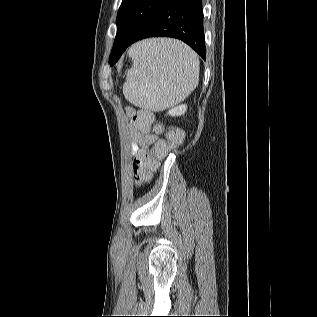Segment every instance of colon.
<instances>
[{"instance_id": "obj_1", "label": "colon", "mask_w": 317, "mask_h": 317, "mask_svg": "<svg viewBox=\"0 0 317 317\" xmlns=\"http://www.w3.org/2000/svg\"><path fill=\"white\" fill-rule=\"evenodd\" d=\"M155 121L154 114L149 110H138L132 116V123L139 131H150ZM154 130L159 132L160 125H155ZM183 138L180 130H170L165 139H160L154 146L153 153L142 152L136 156L132 163V172L137 183L147 181L151 173L157 168L158 162L165 158L169 152L178 145Z\"/></svg>"}]
</instances>
